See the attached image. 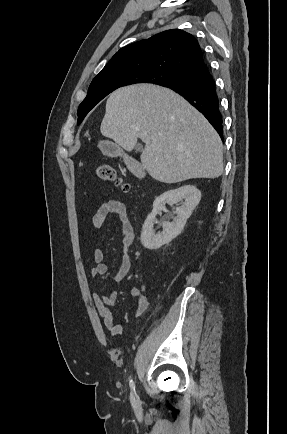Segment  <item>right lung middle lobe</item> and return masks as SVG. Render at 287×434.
<instances>
[{"mask_svg": "<svg viewBox=\"0 0 287 434\" xmlns=\"http://www.w3.org/2000/svg\"><path fill=\"white\" fill-rule=\"evenodd\" d=\"M181 77L164 71H146L136 75H117L95 79L90 84L88 94L78 108V121L80 124L87 113L108 94L122 86L138 83H152L161 86L172 84Z\"/></svg>", "mask_w": 287, "mask_h": 434, "instance_id": "obj_1", "label": "right lung middle lobe"}]
</instances>
